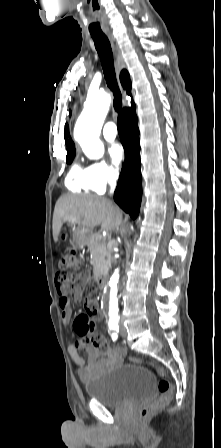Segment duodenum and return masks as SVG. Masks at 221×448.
Masks as SVG:
<instances>
[{
    "label": "duodenum",
    "instance_id": "obj_1",
    "mask_svg": "<svg viewBox=\"0 0 221 448\" xmlns=\"http://www.w3.org/2000/svg\"><path fill=\"white\" fill-rule=\"evenodd\" d=\"M98 286L100 287V289H103L105 287L106 284V276L104 273H95L94 275Z\"/></svg>",
    "mask_w": 221,
    "mask_h": 448
}]
</instances>
